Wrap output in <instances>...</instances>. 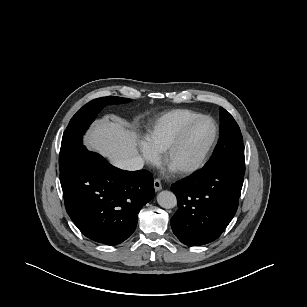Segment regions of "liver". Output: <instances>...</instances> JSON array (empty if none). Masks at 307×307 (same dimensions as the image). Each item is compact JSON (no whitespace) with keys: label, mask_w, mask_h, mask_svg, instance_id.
Segmentation results:
<instances>
[{"label":"liver","mask_w":307,"mask_h":307,"mask_svg":"<svg viewBox=\"0 0 307 307\" xmlns=\"http://www.w3.org/2000/svg\"><path fill=\"white\" fill-rule=\"evenodd\" d=\"M89 149L98 151L112 164L121 159L138 156L137 135L126 129L121 120L97 121L85 138Z\"/></svg>","instance_id":"liver-1"}]
</instances>
